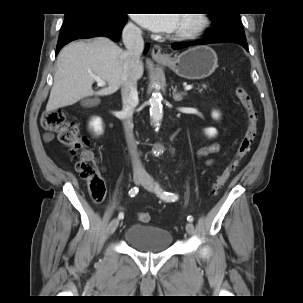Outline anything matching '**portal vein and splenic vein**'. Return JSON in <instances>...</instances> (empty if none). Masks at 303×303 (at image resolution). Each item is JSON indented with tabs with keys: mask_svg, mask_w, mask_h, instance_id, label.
<instances>
[{
	"mask_svg": "<svg viewBox=\"0 0 303 303\" xmlns=\"http://www.w3.org/2000/svg\"><path fill=\"white\" fill-rule=\"evenodd\" d=\"M93 79L97 82V85L98 86H105V81H103L101 78L95 76V75H92ZM193 88L192 85H187L185 86V90H191Z\"/></svg>",
	"mask_w": 303,
	"mask_h": 303,
	"instance_id": "1",
	"label": "portal vein and splenic vein"
}]
</instances>
